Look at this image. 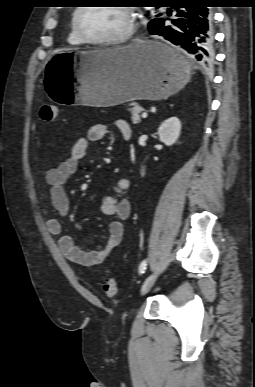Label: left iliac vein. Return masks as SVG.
I'll use <instances>...</instances> for the list:
<instances>
[{"label":"left iliac vein","mask_w":255,"mask_h":387,"mask_svg":"<svg viewBox=\"0 0 255 387\" xmlns=\"http://www.w3.org/2000/svg\"><path fill=\"white\" fill-rule=\"evenodd\" d=\"M157 278V273L151 274L149 277L146 278V280L143 282L141 287V294H146L154 285Z\"/></svg>","instance_id":"left-iliac-vein-1"}]
</instances>
